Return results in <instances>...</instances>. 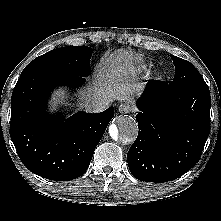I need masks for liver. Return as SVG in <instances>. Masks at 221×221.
Segmentation results:
<instances>
[{"label": "liver", "instance_id": "obj_1", "mask_svg": "<svg viewBox=\"0 0 221 221\" xmlns=\"http://www.w3.org/2000/svg\"><path fill=\"white\" fill-rule=\"evenodd\" d=\"M134 60L133 54L125 50L110 54L91 86L81 92V108L89 111V104L99 99H108L110 102L132 101L142 88L136 81L139 68L135 66ZM60 96L61 94L57 93V98H53L54 104L59 102Z\"/></svg>", "mask_w": 221, "mask_h": 221}]
</instances>
